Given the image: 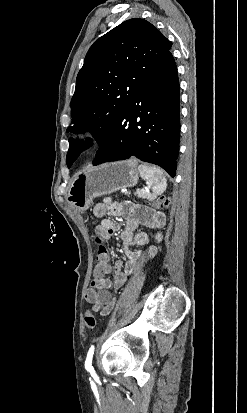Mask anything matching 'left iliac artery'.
<instances>
[{"mask_svg":"<svg viewBox=\"0 0 247 413\" xmlns=\"http://www.w3.org/2000/svg\"><path fill=\"white\" fill-rule=\"evenodd\" d=\"M94 345H92L90 348H89V351H88V353H87V357H86V361H85V368L87 369V370H90L91 368H93L92 367V358H93V354H94Z\"/></svg>","mask_w":247,"mask_h":413,"instance_id":"1","label":"left iliac artery"}]
</instances>
